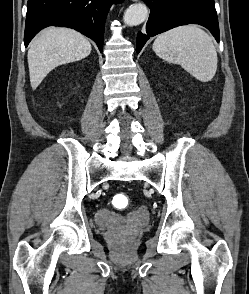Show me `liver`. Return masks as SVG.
<instances>
[{"instance_id": "6515ba94", "label": "liver", "mask_w": 249, "mask_h": 294, "mask_svg": "<svg viewBox=\"0 0 249 294\" xmlns=\"http://www.w3.org/2000/svg\"><path fill=\"white\" fill-rule=\"evenodd\" d=\"M91 53L90 42L69 28L51 27L43 30L28 50L30 83L35 90L54 68L84 59Z\"/></svg>"}]
</instances>
